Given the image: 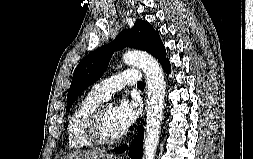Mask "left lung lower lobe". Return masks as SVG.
Returning a JSON list of instances; mask_svg holds the SVG:
<instances>
[{"label": "left lung lower lobe", "instance_id": "left-lung-lower-lobe-1", "mask_svg": "<svg viewBox=\"0 0 253 159\" xmlns=\"http://www.w3.org/2000/svg\"><path fill=\"white\" fill-rule=\"evenodd\" d=\"M163 69L166 73H170V63L167 59L162 64ZM142 139H143V128L140 129L139 133L137 134L136 138L133 140L132 144L130 145V157L131 159H141L142 158ZM127 149V145L120 146L114 149L117 153H123Z\"/></svg>", "mask_w": 253, "mask_h": 159}]
</instances>
